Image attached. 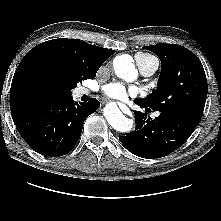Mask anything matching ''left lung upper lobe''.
Wrapping results in <instances>:
<instances>
[{
    "mask_svg": "<svg viewBox=\"0 0 221 221\" xmlns=\"http://www.w3.org/2000/svg\"><path fill=\"white\" fill-rule=\"evenodd\" d=\"M161 60L157 89L139 100L152 110H174L202 117L207 95V80L199 58L185 47L174 44L145 46Z\"/></svg>",
    "mask_w": 221,
    "mask_h": 221,
    "instance_id": "left-lung-upper-lobe-1",
    "label": "left lung upper lobe"
}]
</instances>
